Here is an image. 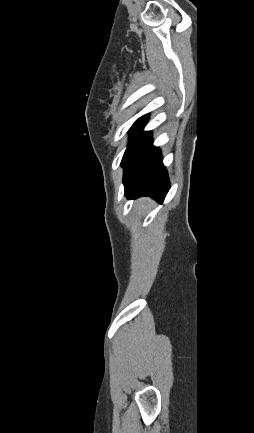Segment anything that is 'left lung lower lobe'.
<instances>
[{"label": "left lung lower lobe", "mask_w": 254, "mask_h": 433, "mask_svg": "<svg viewBox=\"0 0 254 433\" xmlns=\"http://www.w3.org/2000/svg\"><path fill=\"white\" fill-rule=\"evenodd\" d=\"M141 130L122 160L125 194L128 198L151 196L162 202L169 190L167 171L159 149L152 146L151 133Z\"/></svg>", "instance_id": "obj_1"}]
</instances>
